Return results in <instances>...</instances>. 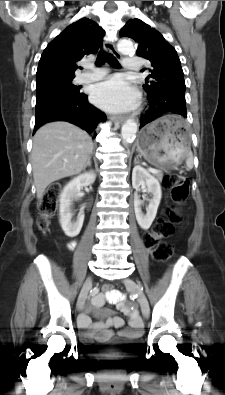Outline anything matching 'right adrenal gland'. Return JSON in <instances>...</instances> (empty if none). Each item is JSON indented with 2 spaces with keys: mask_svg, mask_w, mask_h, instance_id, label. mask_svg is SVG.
I'll use <instances>...</instances> for the list:
<instances>
[{
  "mask_svg": "<svg viewBox=\"0 0 225 395\" xmlns=\"http://www.w3.org/2000/svg\"><path fill=\"white\" fill-rule=\"evenodd\" d=\"M86 166H91V156L89 157Z\"/></svg>",
  "mask_w": 225,
  "mask_h": 395,
  "instance_id": "right-adrenal-gland-1",
  "label": "right adrenal gland"
}]
</instances>
